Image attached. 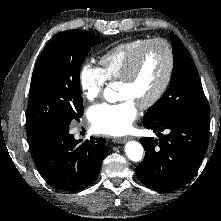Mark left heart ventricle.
Masks as SVG:
<instances>
[{
    "label": "left heart ventricle",
    "instance_id": "1",
    "mask_svg": "<svg viewBox=\"0 0 221 221\" xmlns=\"http://www.w3.org/2000/svg\"><path fill=\"white\" fill-rule=\"evenodd\" d=\"M167 64V53L162 45L154 44L148 47L135 77L130 82L120 83V97L132 99L138 106L146 102L162 84Z\"/></svg>",
    "mask_w": 221,
    "mask_h": 221
}]
</instances>
